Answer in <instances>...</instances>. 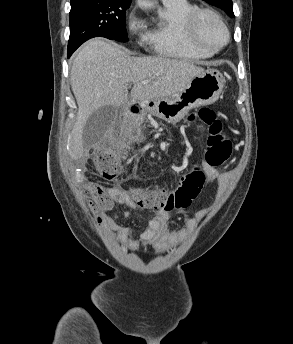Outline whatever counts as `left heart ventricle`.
<instances>
[{"mask_svg":"<svg viewBox=\"0 0 293 344\" xmlns=\"http://www.w3.org/2000/svg\"><path fill=\"white\" fill-rule=\"evenodd\" d=\"M198 34L201 41L210 48L219 46L225 40L222 27L211 17H203L198 25Z\"/></svg>","mask_w":293,"mask_h":344,"instance_id":"left-heart-ventricle-1","label":"left heart ventricle"}]
</instances>
